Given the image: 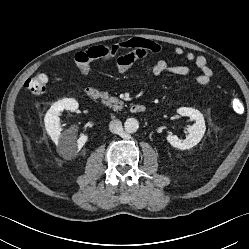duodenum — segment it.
Instances as JSON below:
<instances>
[{
	"label": "duodenum",
	"mask_w": 249,
	"mask_h": 249,
	"mask_svg": "<svg viewBox=\"0 0 249 249\" xmlns=\"http://www.w3.org/2000/svg\"><path fill=\"white\" fill-rule=\"evenodd\" d=\"M85 94L91 100H100L101 99V92L99 89L95 87H88L85 90ZM130 111L134 114H140L146 111V105L144 103H134L130 107Z\"/></svg>",
	"instance_id": "obj_1"
}]
</instances>
